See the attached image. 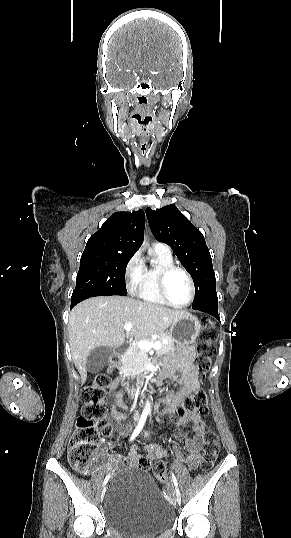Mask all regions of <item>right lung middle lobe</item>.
<instances>
[{"mask_svg": "<svg viewBox=\"0 0 291 538\" xmlns=\"http://www.w3.org/2000/svg\"><path fill=\"white\" fill-rule=\"evenodd\" d=\"M132 256L114 252H84L71 302L104 295L126 296L125 270Z\"/></svg>", "mask_w": 291, "mask_h": 538, "instance_id": "right-lung-middle-lobe-1", "label": "right lung middle lobe"}]
</instances>
